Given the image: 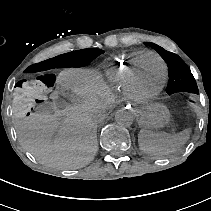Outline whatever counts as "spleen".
<instances>
[{
    "label": "spleen",
    "mask_w": 211,
    "mask_h": 211,
    "mask_svg": "<svg viewBox=\"0 0 211 211\" xmlns=\"http://www.w3.org/2000/svg\"><path fill=\"white\" fill-rule=\"evenodd\" d=\"M190 137V129H184L177 134L153 132L145 128L138 134L140 150L149 154L162 156L184 145Z\"/></svg>",
    "instance_id": "spleen-1"
}]
</instances>
